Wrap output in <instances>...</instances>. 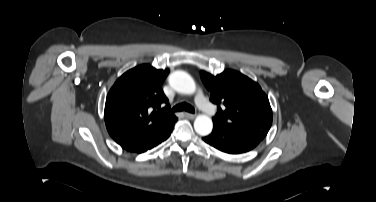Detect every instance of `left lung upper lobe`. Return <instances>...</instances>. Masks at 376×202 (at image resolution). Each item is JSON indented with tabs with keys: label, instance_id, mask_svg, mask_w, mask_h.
I'll return each instance as SVG.
<instances>
[{
	"label": "left lung upper lobe",
	"instance_id": "obj_1",
	"mask_svg": "<svg viewBox=\"0 0 376 202\" xmlns=\"http://www.w3.org/2000/svg\"><path fill=\"white\" fill-rule=\"evenodd\" d=\"M200 75L211 102L218 106L213 123L264 139L272 124V109L261 87L234 70L217 76L201 71Z\"/></svg>",
	"mask_w": 376,
	"mask_h": 202
}]
</instances>
